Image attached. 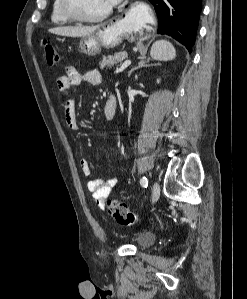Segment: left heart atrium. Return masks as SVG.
Listing matches in <instances>:
<instances>
[{
	"label": "left heart atrium",
	"instance_id": "left-heart-atrium-1",
	"mask_svg": "<svg viewBox=\"0 0 247 299\" xmlns=\"http://www.w3.org/2000/svg\"><path fill=\"white\" fill-rule=\"evenodd\" d=\"M110 1V4L111 6L117 4L120 0H109Z\"/></svg>",
	"mask_w": 247,
	"mask_h": 299
}]
</instances>
